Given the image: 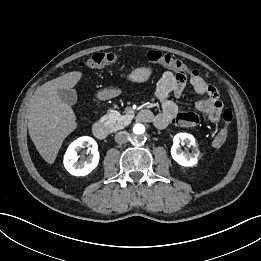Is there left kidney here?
<instances>
[{"label": "left kidney", "instance_id": "5707ae66", "mask_svg": "<svg viewBox=\"0 0 261 261\" xmlns=\"http://www.w3.org/2000/svg\"><path fill=\"white\" fill-rule=\"evenodd\" d=\"M171 148L172 158L181 166L192 167L197 164L200 151L196 145L195 138L188 133H179L174 136ZM184 142L193 146L192 153H185L179 148V143Z\"/></svg>", "mask_w": 261, "mask_h": 261}]
</instances>
